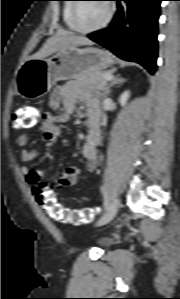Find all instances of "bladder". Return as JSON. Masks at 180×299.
Instances as JSON below:
<instances>
[{
    "instance_id": "31cf9c89",
    "label": "bladder",
    "mask_w": 180,
    "mask_h": 299,
    "mask_svg": "<svg viewBox=\"0 0 180 299\" xmlns=\"http://www.w3.org/2000/svg\"><path fill=\"white\" fill-rule=\"evenodd\" d=\"M110 242H111L110 239L106 238V237L99 238L96 240L97 245L101 248H105V247L109 246Z\"/></svg>"
}]
</instances>
